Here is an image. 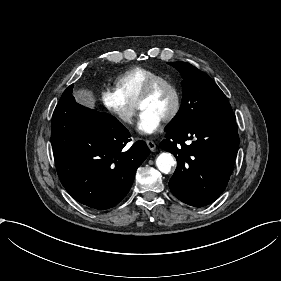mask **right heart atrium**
Returning <instances> with one entry per match:
<instances>
[{
	"label": "right heart atrium",
	"instance_id": "obj_1",
	"mask_svg": "<svg viewBox=\"0 0 281 281\" xmlns=\"http://www.w3.org/2000/svg\"><path fill=\"white\" fill-rule=\"evenodd\" d=\"M100 98L106 109L123 125L132 126L137 117V107L125 100L119 92L111 87H105L100 92Z\"/></svg>",
	"mask_w": 281,
	"mask_h": 281
}]
</instances>
